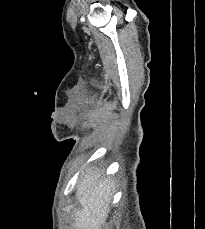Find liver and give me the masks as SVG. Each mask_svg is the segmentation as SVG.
<instances>
[{"label": "liver", "instance_id": "liver-1", "mask_svg": "<svg viewBox=\"0 0 205 229\" xmlns=\"http://www.w3.org/2000/svg\"><path fill=\"white\" fill-rule=\"evenodd\" d=\"M113 188V183L98 171L87 170L77 187L76 196L82 209L75 212V229H101L109 212Z\"/></svg>", "mask_w": 205, "mask_h": 229}]
</instances>
